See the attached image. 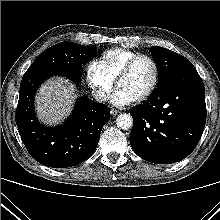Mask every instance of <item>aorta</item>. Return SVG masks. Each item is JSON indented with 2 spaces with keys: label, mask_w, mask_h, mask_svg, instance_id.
I'll return each mask as SVG.
<instances>
[{
  "label": "aorta",
  "mask_w": 220,
  "mask_h": 220,
  "mask_svg": "<svg viewBox=\"0 0 220 220\" xmlns=\"http://www.w3.org/2000/svg\"><path fill=\"white\" fill-rule=\"evenodd\" d=\"M116 124L123 130H128L133 125V119L130 114H120L116 119Z\"/></svg>",
  "instance_id": "aorta-1"
}]
</instances>
